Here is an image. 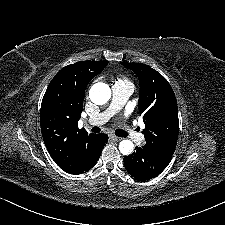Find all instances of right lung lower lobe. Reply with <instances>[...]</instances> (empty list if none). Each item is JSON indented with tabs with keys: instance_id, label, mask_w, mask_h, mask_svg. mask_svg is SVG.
<instances>
[{
	"instance_id": "98d812e1",
	"label": "right lung lower lobe",
	"mask_w": 225,
	"mask_h": 225,
	"mask_svg": "<svg viewBox=\"0 0 225 225\" xmlns=\"http://www.w3.org/2000/svg\"><path fill=\"white\" fill-rule=\"evenodd\" d=\"M107 141H108V135H106V134H96V149L90 155V157L88 158V160L85 163L82 170H80L78 173H76L74 175L84 173L85 171H88L89 169H91L96 164V162L98 161V159L101 155L102 149L105 146V144L107 143Z\"/></svg>"
}]
</instances>
